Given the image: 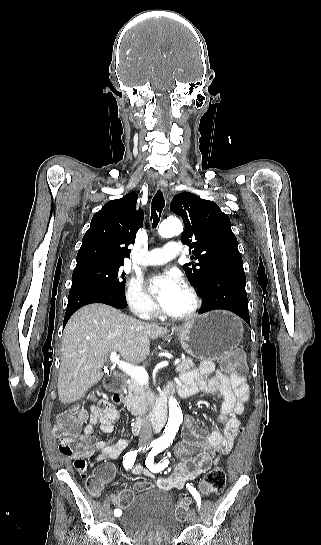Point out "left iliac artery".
<instances>
[{
    "mask_svg": "<svg viewBox=\"0 0 321 545\" xmlns=\"http://www.w3.org/2000/svg\"><path fill=\"white\" fill-rule=\"evenodd\" d=\"M166 447L164 446H161V445H157L155 446L148 454L147 458H146V466L154 473H157L161 470H163L167 465H168V461L165 460L164 462L162 463H158V464H153L154 463V456L157 455L158 453L162 452ZM186 487L188 488V490L190 491V493L194 496L196 502H197V506L198 508L200 509V506H201V498H200V495L199 493L196 491V489L194 487H192L191 485L187 484Z\"/></svg>",
    "mask_w": 321,
    "mask_h": 545,
    "instance_id": "left-iliac-artery-1",
    "label": "left iliac artery"
}]
</instances>
